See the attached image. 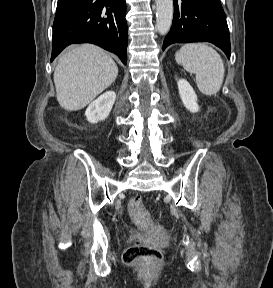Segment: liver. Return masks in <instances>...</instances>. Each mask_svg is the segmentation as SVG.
Listing matches in <instances>:
<instances>
[{
    "instance_id": "6515ba94",
    "label": "liver",
    "mask_w": 273,
    "mask_h": 288,
    "mask_svg": "<svg viewBox=\"0 0 273 288\" xmlns=\"http://www.w3.org/2000/svg\"><path fill=\"white\" fill-rule=\"evenodd\" d=\"M118 75V67L103 49L83 44L63 54L54 71L57 101L67 111L86 107L108 88Z\"/></svg>"
}]
</instances>
